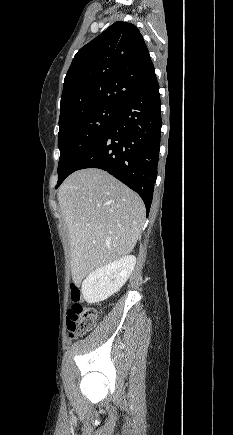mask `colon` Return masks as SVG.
I'll return each mask as SVG.
<instances>
[{
  "label": "colon",
  "instance_id": "colon-1",
  "mask_svg": "<svg viewBox=\"0 0 233 435\" xmlns=\"http://www.w3.org/2000/svg\"><path fill=\"white\" fill-rule=\"evenodd\" d=\"M72 307L68 311V333L71 339L78 338L91 331L98 319V311L82 305V287L79 282L70 286Z\"/></svg>",
  "mask_w": 233,
  "mask_h": 435
}]
</instances>
